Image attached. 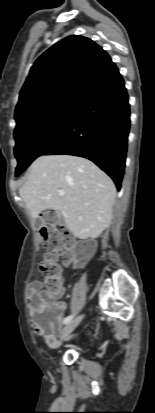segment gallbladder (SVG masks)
<instances>
[{"mask_svg": "<svg viewBox=\"0 0 155 413\" xmlns=\"http://www.w3.org/2000/svg\"><path fill=\"white\" fill-rule=\"evenodd\" d=\"M61 221H62V219L59 218V219H58V222L61 223ZM42 225H43V222H42L41 220H38V221H37V226L40 227V226H42Z\"/></svg>", "mask_w": 155, "mask_h": 413, "instance_id": "gallbladder-1", "label": "gallbladder"}]
</instances>
